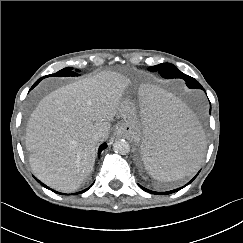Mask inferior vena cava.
<instances>
[{
  "instance_id": "obj_1",
  "label": "inferior vena cava",
  "mask_w": 243,
  "mask_h": 243,
  "mask_svg": "<svg viewBox=\"0 0 243 243\" xmlns=\"http://www.w3.org/2000/svg\"><path fill=\"white\" fill-rule=\"evenodd\" d=\"M101 138H102V134H101L100 132H96V133H94V135H93V139H94L95 141H99Z\"/></svg>"
}]
</instances>
